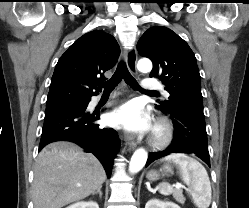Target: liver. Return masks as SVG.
Segmentation results:
<instances>
[{
    "mask_svg": "<svg viewBox=\"0 0 249 208\" xmlns=\"http://www.w3.org/2000/svg\"><path fill=\"white\" fill-rule=\"evenodd\" d=\"M106 180L99 160L78 145L58 141L39 153L32 185L34 208H62L85 199Z\"/></svg>",
    "mask_w": 249,
    "mask_h": 208,
    "instance_id": "obj_1",
    "label": "liver"
}]
</instances>
